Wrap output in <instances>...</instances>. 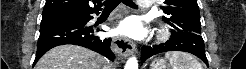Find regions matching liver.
Returning a JSON list of instances; mask_svg holds the SVG:
<instances>
[{"mask_svg":"<svg viewBox=\"0 0 246 69\" xmlns=\"http://www.w3.org/2000/svg\"><path fill=\"white\" fill-rule=\"evenodd\" d=\"M101 55L75 45H62L49 50L35 69H113Z\"/></svg>","mask_w":246,"mask_h":69,"instance_id":"6515ba94","label":"liver"}]
</instances>
